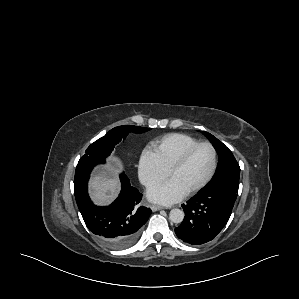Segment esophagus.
Returning <instances> with one entry per match:
<instances>
[{"label":"esophagus","instance_id":"obj_1","mask_svg":"<svg viewBox=\"0 0 299 299\" xmlns=\"http://www.w3.org/2000/svg\"><path fill=\"white\" fill-rule=\"evenodd\" d=\"M151 209H152V211H158V210H161V209H163V207L162 206H160V205H152L151 206Z\"/></svg>","mask_w":299,"mask_h":299}]
</instances>
